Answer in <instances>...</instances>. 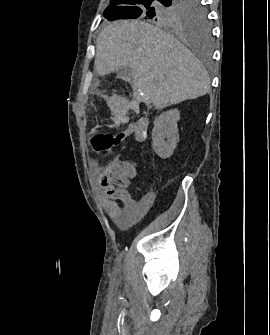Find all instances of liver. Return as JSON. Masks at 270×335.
<instances>
[{"instance_id":"liver-1","label":"liver","mask_w":270,"mask_h":335,"mask_svg":"<svg viewBox=\"0 0 270 335\" xmlns=\"http://www.w3.org/2000/svg\"><path fill=\"white\" fill-rule=\"evenodd\" d=\"M129 66L135 94L158 110L194 100L209 90L208 72L171 34L142 20H118L100 32L95 68L99 76Z\"/></svg>"}]
</instances>
